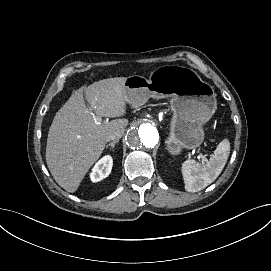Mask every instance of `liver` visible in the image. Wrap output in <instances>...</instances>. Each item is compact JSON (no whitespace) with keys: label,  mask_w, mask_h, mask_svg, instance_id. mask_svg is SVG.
Segmentation results:
<instances>
[{"label":"liver","mask_w":271,"mask_h":271,"mask_svg":"<svg viewBox=\"0 0 271 271\" xmlns=\"http://www.w3.org/2000/svg\"><path fill=\"white\" fill-rule=\"evenodd\" d=\"M126 81L125 77L109 78L81 88L56 113L48 133L46 161L55 181L67 192L78 189L100 158L106 137L128 125L127 119L101 121V117L126 116Z\"/></svg>","instance_id":"6515ba94"}]
</instances>
